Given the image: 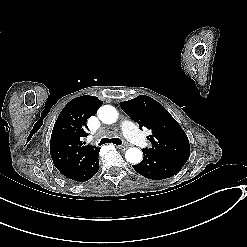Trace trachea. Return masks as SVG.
Masks as SVG:
<instances>
[{
    "label": "trachea",
    "mask_w": 247,
    "mask_h": 247,
    "mask_svg": "<svg viewBox=\"0 0 247 247\" xmlns=\"http://www.w3.org/2000/svg\"><path fill=\"white\" fill-rule=\"evenodd\" d=\"M106 143H113L115 145H121L122 144V140L120 138H102L99 145H103Z\"/></svg>",
    "instance_id": "trachea-1"
}]
</instances>
